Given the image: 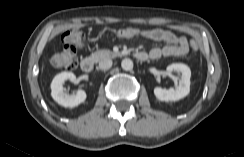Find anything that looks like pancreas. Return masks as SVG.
I'll list each match as a JSON object with an SVG mask.
<instances>
[{
  "label": "pancreas",
  "mask_w": 244,
  "mask_h": 157,
  "mask_svg": "<svg viewBox=\"0 0 244 157\" xmlns=\"http://www.w3.org/2000/svg\"><path fill=\"white\" fill-rule=\"evenodd\" d=\"M117 56V53L111 52L110 50H99L91 54V58L96 62H99L103 59L115 58Z\"/></svg>",
  "instance_id": "obj_1"
}]
</instances>
